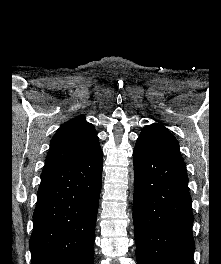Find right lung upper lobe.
Returning <instances> with one entry per match:
<instances>
[{"label": "right lung upper lobe", "mask_w": 221, "mask_h": 264, "mask_svg": "<svg viewBox=\"0 0 221 264\" xmlns=\"http://www.w3.org/2000/svg\"><path fill=\"white\" fill-rule=\"evenodd\" d=\"M100 152L94 126L78 116L64 123L53 136L44 169L79 163Z\"/></svg>", "instance_id": "obj_1"}]
</instances>
